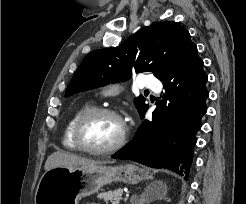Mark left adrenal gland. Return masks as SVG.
<instances>
[{
  "label": "left adrenal gland",
  "instance_id": "1",
  "mask_svg": "<svg viewBox=\"0 0 246 204\" xmlns=\"http://www.w3.org/2000/svg\"><path fill=\"white\" fill-rule=\"evenodd\" d=\"M147 199H148V197L146 195V192L142 193L140 196L139 204H143V203L147 202L148 201ZM130 202H131V204H136L135 197H131Z\"/></svg>",
  "mask_w": 246,
  "mask_h": 204
}]
</instances>
